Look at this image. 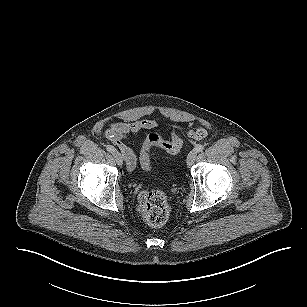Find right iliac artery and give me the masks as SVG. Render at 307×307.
<instances>
[{
  "instance_id": "1",
  "label": "right iliac artery",
  "mask_w": 307,
  "mask_h": 307,
  "mask_svg": "<svg viewBox=\"0 0 307 307\" xmlns=\"http://www.w3.org/2000/svg\"><path fill=\"white\" fill-rule=\"evenodd\" d=\"M106 149L110 153H113L116 150L112 145H107Z\"/></svg>"
}]
</instances>
